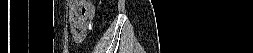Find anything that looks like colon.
I'll list each match as a JSON object with an SVG mask.
<instances>
[{"label": "colon", "instance_id": "colon-1", "mask_svg": "<svg viewBox=\"0 0 253 53\" xmlns=\"http://www.w3.org/2000/svg\"><path fill=\"white\" fill-rule=\"evenodd\" d=\"M89 1H71L69 11V23L72 28L77 30L87 29L92 27L91 8L88 5Z\"/></svg>", "mask_w": 253, "mask_h": 53}]
</instances>
